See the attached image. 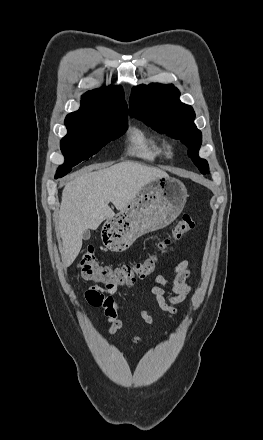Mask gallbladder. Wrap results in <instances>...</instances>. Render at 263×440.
<instances>
[{"label":"gallbladder","instance_id":"bac80fb5","mask_svg":"<svg viewBox=\"0 0 263 440\" xmlns=\"http://www.w3.org/2000/svg\"><path fill=\"white\" fill-rule=\"evenodd\" d=\"M82 238L84 240H89L90 239V231L89 230L84 231Z\"/></svg>","mask_w":263,"mask_h":440}]
</instances>
